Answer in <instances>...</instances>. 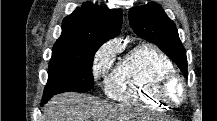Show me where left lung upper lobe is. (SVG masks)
I'll return each instance as SVG.
<instances>
[{
	"instance_id": "1",
	"label": "left lung upper lobe",
	"mask_w": 217,
	"mask_h": 121,
	"mask_svg": "<svg viewBox=\"0 0 217 121\" xmlns=\"http://www.w3.org/2000/svg\"><path fill=\"white\" fill-rule=\"evenodd\" d=\"M129 21L139 37L155 43L176 62L183 75L188 76L186 50L179 39L176 25L160 5L151 2L144 6L131 8Z\"/></svg>"
}]
</instances>
